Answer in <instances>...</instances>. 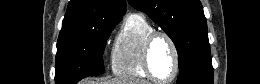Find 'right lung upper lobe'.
Instances as JSON below:
<instances>
[{"instance_id": "1", "label": "right lung upper lobe", "mask_w": 260, "mask_h": 84, "mask_svg": "<svg viewBox=\"0 0 260 84\" xmlns=\"http://www.w3.org/2000/svg\"><path fill=\"white\" fill-rule=\"evenodd\" d=\"M125 12L126 0H71L59 40L85 36L96 23L120 21Z\"/></svg>"}]
</instances>
